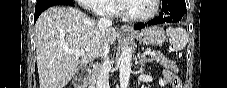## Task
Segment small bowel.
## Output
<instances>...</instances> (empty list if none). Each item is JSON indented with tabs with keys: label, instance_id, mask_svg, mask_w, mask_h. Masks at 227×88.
Returning a JSON list of instances; mask_svg holds the SVG:
<instances>
[{
	"label": "small bowel",
	"instance_id": "1",
	"mask_svg": "<svg viewBox=\"0 0 227 88\" xmlns=\"http://www.w3.org/2000/svg\"><path fill=\"white\" fill-rule=\"evenodd\" d=\"M163 80L174 82V81H178V78L173 73H171L170 71L164 70L163 71ZM156 87L161 88L163 86L161 84V85H157Z\"/></svg>",
	"mask_w": 227,
	"mask_h": 88
}]
</instances>
